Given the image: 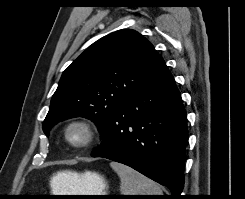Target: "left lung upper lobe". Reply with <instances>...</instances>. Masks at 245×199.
Returning <instances> with one entry per match:
<instances>
[{"instance_id":"1","label":"left lung upper lobe","mask_w":245,"mask_h":199,"mask_svg":"<svg viewBox=\"0 0 245 199\" xmlns=\"http://www.w3.org/2000/svg\"><path fill=\"white\" fill-rule=\"evenodd\" d=\"M163 59L134 30H119L86 49L63 72L43 131L72 117H86L104 131L112 112L152 77Z\"/></svg>"}]
</instances>
